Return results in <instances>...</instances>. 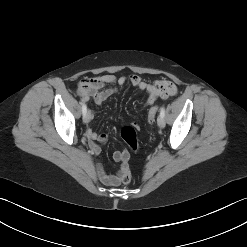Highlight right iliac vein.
<instances>
[{"mask_svg":"<svg viewBox=\"0 0 247 247\" xmlns=\"http://www.w3.org/2000/svg\"><path fill=\"white\" fill-rule=\"evenodd\" d=\"M90 120H91V114H90V112L88 111V112L83 116V121H84L85 123H89Z\"/></svg>","mask_w":247,"mask_h":247,"instance_id":"63e3f726","label":"right iliac vein"}]
</instances>
